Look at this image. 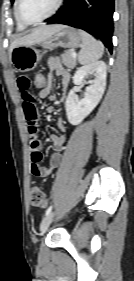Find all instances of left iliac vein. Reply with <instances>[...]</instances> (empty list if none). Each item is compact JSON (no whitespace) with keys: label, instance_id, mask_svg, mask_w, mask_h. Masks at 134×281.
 <instances>
[{"label":"left iliac vein","instance_id":"obj_1","mask_svg":"<svg viewBox=\"0 0 134 281\" xmlns=\"http://www.w3.org/2000/svg\"><path fill=\"white\" fill-rule=\"evenodd\" d=\"M55 216L54 212H50L42 221L40 226L41 234L45 233Z\"/></svg>","mask_w":134,"mask_h":281}]
</instances>
